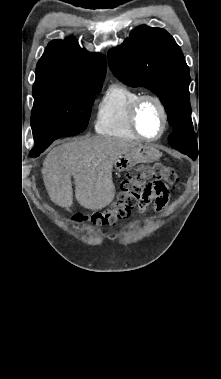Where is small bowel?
<instances>
[{
    "instance_id": "small-bowel-1",
    "label": "small bowel",
    "mask_w": 221,
    "mask_h": 379,
    "mask_svg": "<svg viewBox=\"0 0 221 379\" xmlns=\"http://www.w3.org/2000/svg\"><path fill=\"white\" fill-rule=\"evenodd\" d=\"M153 200L155 201L157 209L161 210L168 201V192L163 195L152 194L144 197L138 205L139 211L144 212Z\"/></svg>"
}]
</instances>
